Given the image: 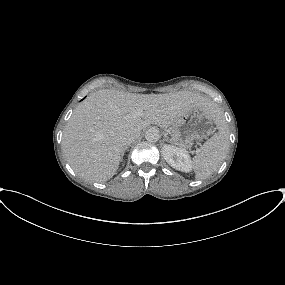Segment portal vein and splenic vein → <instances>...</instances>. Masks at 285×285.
<instances>
[{"label":"portal vein and splenic vein","instance_id":"1","mask_svg":"<svg viewBox=\"0 0 285 285\" xmlns=\"http://www.w3.org/2000/svg\"><path fill=\"white\" fill-rule=\"evenodd\" d=\"M141 115H142V113H141L140 110H137V111H135L134 113H132V116H133V117H139V116H141Z\"/></svg>","mask_w":285,"mask_h":285}]
</instances>
